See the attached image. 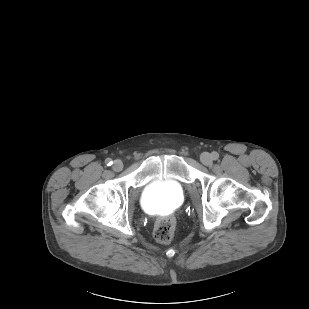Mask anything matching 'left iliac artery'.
<instances>
[{"instance_id":"left-iliac-artery-1","label":"left iliac artery","mask_w":309,"mask_h":309,"mask_svg":"<svg viewBox=\"0 0 309 309\" xmlns=\"http://www.w3.org/2000/svg\"><path fill=\"white\" fill-rule=\"evenodd\" d=\"M218 157H219V154H218L217 152H213V153H212V158H213L214 160H217Z\"/></svg>"}]
</instances>
